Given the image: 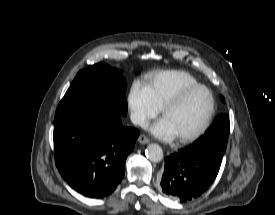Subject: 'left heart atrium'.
<instances>
[{"label":"left heart atrium","mask_w":275,"mask_h":215,"mask_svg":"<svg viewBox=\"0 0 275 215\" xmlns=\"http://www.w3.org/2000/svg\"><path fill=\"white\" fill-rule=\"evenodd\" d=\"M151 132L155 136L165 140H170L176 136L173 128L165 118L155 123L151 127Z\"/></svg>","instance_id":"39dd6f15"}]
</instances>
